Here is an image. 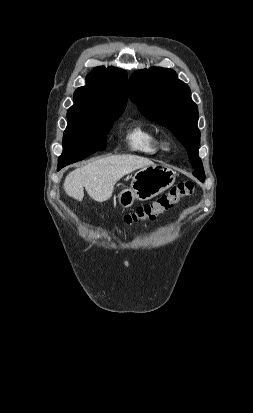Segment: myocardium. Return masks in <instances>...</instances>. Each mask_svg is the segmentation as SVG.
<instances>
[{"instance_id": "1", "label": "myocardium", "mask_w": 253, "mask_h": 413, "mask_svg": "<svg viewBox=\"0 0 253 413\" xmlns=\"http://www.w3.org/2000/svg\"><path fill=\"white\" fill-rule=\"evenodd\" d=\"M161 146L164 150L170 151L173 146V139L170 136H165L161 140Z\"/></svg>"}]
</instances>
